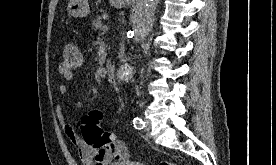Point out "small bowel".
<instances>
[{
  "label": "small bowel",
  "mask_w": 276,
  "mask_h": 165,
  "mask_svg": "<svg viewBox=\"0 0 276 165\" xmlns=\"http://www.w3.org/2000/svg\"><path fill=\"white\" fill-rule=\"evenodd\" d=\"M62 78L68 81L72 78V74L62 75ZM58 90L61 95H64L67 91V88L64 84H61L59 85ZM55 114L66 137L77 149L79 158L83 165H110L113 162L121 161L126 158L125 157L123 159L117 160L113 154L101 153L86 144L79 137L72 123L67 119L62 107L59 104L55 106ZM122 145L125 148L123 142Z\"/></svg>",
  "instance_id": "obj_1"
}]
</instances>
